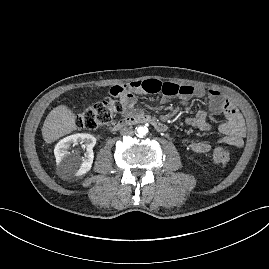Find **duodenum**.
<instances>
[{
	"label": "duodenum",
	"mask_w": 269,
	"mask_h": 269,
	"mask_svg": "<svg viewBox=\"0 0 269 269\" xmlns=\"http://www.w3.org/2000/svg\"><path fill=\"white\" fill-rule=\"evenodd\" d=\"M143 123L151 124L156 130L160 132H165L167 130V126L164 123H162L156 118H153L151 116L144 115V114H135V115L125 117L117 121L113 128L114 130L117 131L127 126L143 124Z\"/></svg>",
	"instance_id": "410a0bca"
}]
</instances>
